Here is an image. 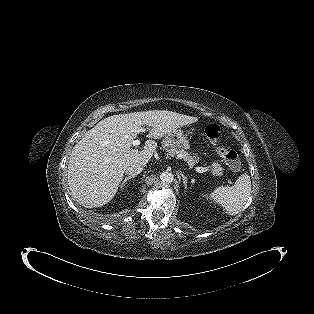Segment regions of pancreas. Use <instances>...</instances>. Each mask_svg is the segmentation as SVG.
<instances>
[{
    "label": "pancreas",
    "mask_w": 314,
    "mask_h": 314,
    "mask_svg": "<svg viewBox=\"0 0 314 314\" xmlns=\"http://www.w3.org/2000/svg\"><path fill=\"white\" fill-rule=\"evenodd\" d=\"M163 146H164L168 156L181 158L184 161H186L190 167H193L195 165V163L198 162V158L196 155L190 156L188 153H185L181 150H178L175 147L169 146V144L167 142H163ZM210 169H211L213 174H216L218 176L223 175V168L218 163H213L210 166Z\"/></svg>",
    "instance_id": "cf45deb5"
}]
</instances>
